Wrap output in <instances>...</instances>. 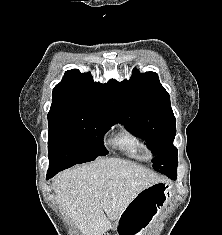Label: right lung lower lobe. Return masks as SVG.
Instances as JSON below:
<instances>
[{
  "label": "right lung lower lobe",
  "instance_id": "right-lung-lower-lobe-1",
  "mask_svg": "<svg viewBox=\"0 0 222 235\" xmlns=\"http://www.w3.org/2000/svg\"><path fill=\"white\" fill-rule=\"evenodd\" d=\"M58 172H54V173H47L46 179L52 178L53 176H55Z\"/></svg>",
  "mask_w": 222,
  "mask_h": 235
}]
</instances>
